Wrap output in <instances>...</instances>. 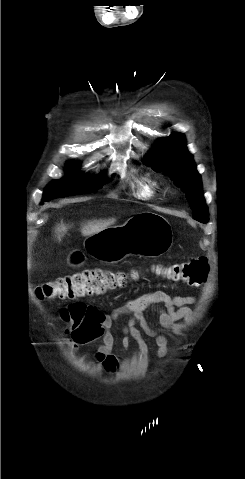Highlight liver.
Here are the masks:
<instances>
[{
	"label": "liver",
	"instance_id": "1",
	"mask_svg": "<svg viewBox=\"0 0 245 479\" xmlns=\"http://www.w3.org/2000/svg\"><path fill=\"white\" fill-rule=\"evenodd\" d=\"M115 222H116V219L114 218L105 219V220L100 219V220L88 221L86 224L82 226L81 233L83 236H91L104 229L109 228ZM66 231H67V226H65L64 224L57 225L55 229L57 238L61 239V237L65 234Z\"/></svg>",
	"mask_w": 245,
	"mask_h": 479
}]
</instances>
